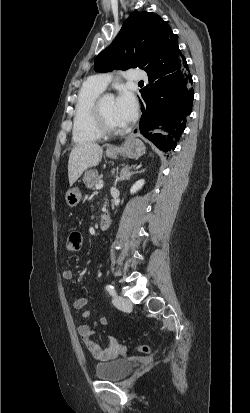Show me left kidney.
<instances>
[{
	"label": "left kidney",
	"instance_id": "5707ae66",
	"mask_svg": "<svg viewBox=\"0 0 250 413\" xmlns=\"http://www.w3.org/2000/svg\"><path fill=\"white\" fill-rule=\"evenodd\" d=\"M145 181L143 179L136 181L130 189L131 194L136 193L138 190L142 188Z\"/></svg>",
	"mask_w": 250,
	"mask_h": 413
}]
</instances>
